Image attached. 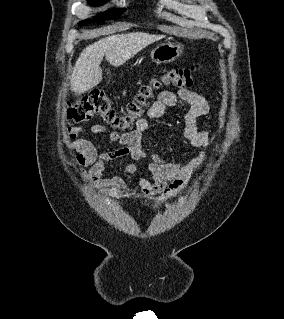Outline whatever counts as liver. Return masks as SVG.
<instances>
[{"label":"liver","instance_id":"6515ba94","mask_svg":"<svg viewBox=\"0 0 284 319\" xmlns=\"http://www.w3.org/2000/svg\"><path fill=\"white\" fill-rule=\"evenodd\" d=\"M164 38L144 32L115 34L88 45L77 59L70 81V89L81 95L102 80L101 62L106 60L118 67L131 59L146 46Z\"/></svg>","mask_w":284,"mask_h":319}]
</instances>
